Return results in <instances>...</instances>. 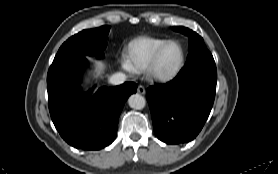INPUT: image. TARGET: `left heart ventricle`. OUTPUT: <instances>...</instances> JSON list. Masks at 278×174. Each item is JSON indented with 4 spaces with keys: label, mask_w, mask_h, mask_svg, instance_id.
Returning <instances> with one entry per match:
<instances>
[{
    "label": "left heart ventricle",
    "mask_w": 278,
    "mask_h": 174,
    "mask_svg": "<svg viewBox=\"0 0 278 174\" xmlns=\"http://www.w3.org/2000/svg\"><path fill=\"white\" fill-rule=\"evenodd\" d=\"M181 57L178 45H168L160 55L159 69L163 72L173 70L179 63Z\"/></svg>",
    "instance_id": "1"
}]
</instances>
